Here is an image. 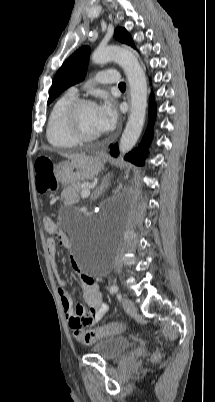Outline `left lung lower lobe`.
<instances>
[{
  "instance_id": "1",
  "label": "left lung lower lobe",
  "mask_w": 215,
  "mask_h": 402,
  "mask_svg": "<svg viewBox=\"0 0 215 402\" xmlns=\"http://www.w3.org/2000/svg\"><path fill=\"white\" fill-rule=\"evenodd\" d=\"M149 126L146 130V133L144 135V138L140 144V147L134 149L133 151L129 152L126 156L125 159L131 161L132 163L136 164V165H143L144 163V159H145V155H146V148L148 147V144L150 143L151 137H152V125H153V121L155 118V114H156V106H155V102H154V98L153 95L150 98V102H149ZM110 154L112 156H117L118 155V145L115 144L114 146L111 147L110 150Z\"/></svg>"
}]
</instances>
